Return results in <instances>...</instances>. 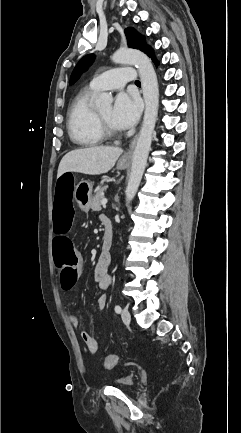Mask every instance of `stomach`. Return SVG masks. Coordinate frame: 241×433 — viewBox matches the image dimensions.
<instances>
[{
  "label": "stomach",
  "mask_w": 241,
  "mask_h": 433,
  "mask_svg": "<svg viewBox=\"0 0 241 433\" xmlns=\"http://www.w3.org/2000/svg\"><path fill=\"white\" fill-rule=\"evenodd\" d=\"M129 166V163L120 159L117 163V169L124 170ZM73 201L77 204L80 210L87 211L92 203V184L88 181H81L74 185Z\"/></svg>",
  "instance_id": "obj_1"
}]
</instances>
